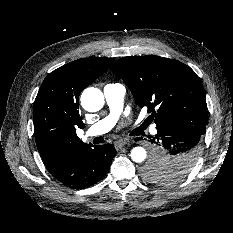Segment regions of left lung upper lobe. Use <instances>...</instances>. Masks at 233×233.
<instances>
[{
	"mask_svg": "<svg viewBox=\"0 0 233 233\" xmlns=\"http://www.w3.org/2000/svg\"><path fill=\"white\" fill-rule=\"evenodd\" d=\"M111 70L125 81L140 108L147 107L156 129L205 127L208 109L199 77L187 65L155 55L119 59ZM150 161L142 174L148 180L171 183L185 177L194 165L170 168Z\"/></svg>",
	"mask_w": 233,
	"mask_h": 233,
	"instance_id": "5c2ea615",
	"label": "left lung upper lobe"
}]
</instances>
